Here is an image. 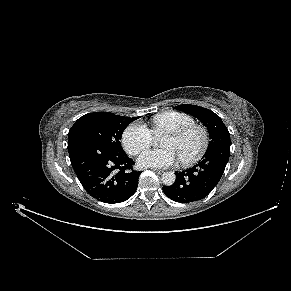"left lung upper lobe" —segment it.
Here are the masks:
<instances>
[{"instance_id":"5c2ea615","label":"left lung upper lobe","mask_w":291,"mask_h":291,"mask_svg":"<svg viewBox=\"0 0 291 291\" xmlns=\"http://www.w3.org/2000/svg\"><path fill=\"white\" fill-rule=\"evenodd\" d=\"M174 108L196 117L207 127L210 136V142L206 153H209L223 145L230 146L229 131L221 118L213 111L190 104H183Z\"/></svg>"}]
</instances>
